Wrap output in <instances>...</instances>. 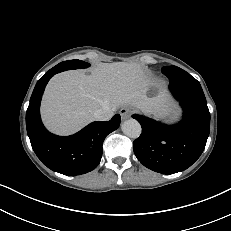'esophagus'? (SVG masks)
<instances>
[{
  "label": "esophagus",
  "instance_id": "obj_1",
  "mask_svg": "<svg viewBox=\"0 0 231 231\" xmlns=\"http://www.w3.org/2000/svg\"><path fill=\"white\" fill-rule=\"evenodd\" d=\"M132 112V108L128 106L122 107L119 111L122 119H128L131 116Z\"/></svg>",
  "mask_w": 231,
  "mask_h": 231
}]
</instances>
